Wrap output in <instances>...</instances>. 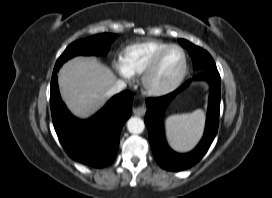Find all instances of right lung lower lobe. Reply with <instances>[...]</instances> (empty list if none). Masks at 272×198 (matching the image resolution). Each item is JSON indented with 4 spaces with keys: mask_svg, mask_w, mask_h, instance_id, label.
I'll return each mask as SVG.
<instances>
[{
    "mask_svg": "<svg viewBox=\"0 0 272 198\" xmlns=\"http://www.w3.org/2000/svg\"><path fill=\"white\" fill-rule=\"evenodd\" d=\"M57 71L52 74L50 106L59 141L74 160L96 168L108 166L116 157L121 129L131 116L133 94L123 91L90 119L79 120L61 100Z\"/></svg>",
    "mask_w": 272,
    "mask_h": 198,
    "instance_id": "1",
    "label": "right lung lower lobe"
}]
</instances>
